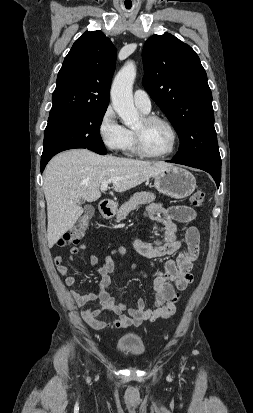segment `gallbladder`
<instances>
[{
	"mask_svg": "<svg viewBox=\"0 0 253 413\" xmlns=\"http://www.w3.org/2000/svg\"><path fill=\"white\" fill-rule=\"evenodd\" d=\"M84 201L82 199L79 200V203H83Z\"/></svg>",
	"mask_w": 253,
	"mask_h": 413,
	"instance_id": "1",
	"label": "gallbladder"
}]
</instances>
